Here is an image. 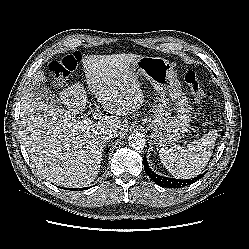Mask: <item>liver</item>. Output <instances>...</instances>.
Segmentation results:
<instances>
[{
  "label": "liver",
  "mask_w": 249,
  "mask_h": 249,
  "mask_svg": "<svg viewBox=\"0 0 249 249\" xmlns=\"http://www.w3.org/2000/svg\"><path fill=\"white\" fill-rule=\"evenodd\" d=\"M141 55H89L83 67L89 90L112 116L88 125L77 126L76 115L86 106V92L74 83L59 93L66 109L47 104L27 88L20 105L22 142L37 172L50 182L64 187L91 184L98 175L108 140L104 131L125 133L127 116L140 109L143 92L131 65ZM35 81H47L43 71ZM114 115V116H113Z\"/></svg>",
  "instance_id": "obj_1"
}]
</instances>
